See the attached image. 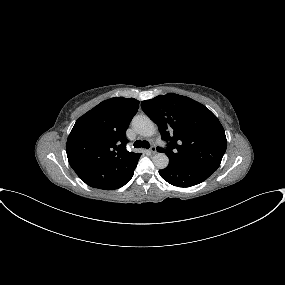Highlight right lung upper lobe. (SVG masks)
I'll return each instance as SVG.
<instances>
[{"mask_svg": "<svg viewBox=\"0 0 285 285\" xmlns=\"http://www.w3.org/2000/svg\"><path fill=\"white\" fill-rule=\"evenodd\" d=\"M138 107L134 98L114 97L76 121L66 152L71 167L87 185L108 189L134 172L141 154L127 151L125 131Z\"/></svg>", "mask_w": 285, "mask_h": 285, "instance_id": "cb5924a9", "label": "right lung upper lobe"}]
</instances>
